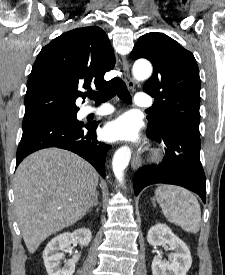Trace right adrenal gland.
<instances>
[{"instance_id": "obj_1", "label": "right adrenal gland", "mask_w": 225, "mask_h": 275, "mask_svg": "<svg viewBox=\"0 0 225 275\" xmlns=\"http://www.w3.org/2000/svg\"><path fill=\"white\" fill-rule=\"evenodd\" d=\"M99 204V201H98V192L97 190L94 192V196H93V200H92V204L88 210V212L94 207V206H97Z\"/></svg>"}]
</instances>
